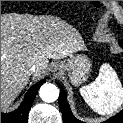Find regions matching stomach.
I'll return each instance as SVG.
<instances>
[{
    "label": "stomach",
    "instance_id": "obj_1",
    "mask_svg": "<svg viewBox=\"0 0 123 123\" xmlns=\"http://www.w3.org/2000/svg\"><path fill=\"white\" fill-rule=\"evenodd\" d=\"M63 67L68 72L71 83L77 86L87 79L91 62L86 55L76 54L63 62Z\"/></svg>",
    "mask_w": 123,
    "mask_h": 123
}]
</instances>
